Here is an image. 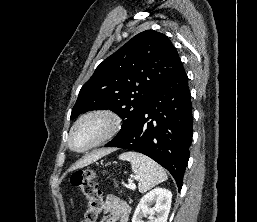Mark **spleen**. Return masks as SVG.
I'll use <instances>...</instances> for the list:
<instances>
[{"label":"spleen","instance_id":"spleen-1","mask_svg":"<svg viewBox=\"0 0 257 222\" xmlns=\"http://www.w3.org/2000/svg\"><path fill=\"white\" fill-rule=\"evenodd\" d=\"M121 160H127L131 163L135 178L138 179V189L144 193L155 185L167 180L164 169L149 157L129 151L119 156Z\"/></svg>","mask_w":257,"mask_h":222}]
</instances>
